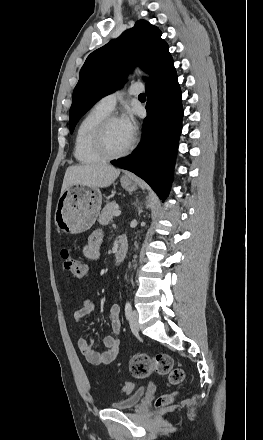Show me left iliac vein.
<instances>
[{
    "label": "left iliac vein",
    "instance_id": "1",
    "mask_svg": "<svg viewBox=\"0 0 263 440\" xmlns=\"http://www.w3.org/2000/svg\"><path fill=\"white\" fill-rule=\"evenodd\" d=\"M129 325L133 333L137 334L139 332L138 314L136 311H132L129 319Z\"/></svg>",
    "mask_w": 263,
    "mask_h": 440
}]
</instances>
